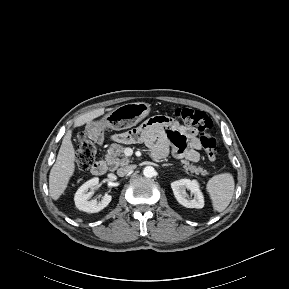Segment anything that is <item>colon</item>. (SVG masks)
<instances>
[{"mask_svg": "<svg viewBox=\"0 0 289 289\" xmlns=\"http://www.w3.org/2000/svg\"><path fill=\"white\" fill-rule=\"evenodd\" d=\"M177 119L186 125L195 126L201 133V144L207 158L214 161L217 157L216 140L211 132L213 121L203 111L191 108H177L174 112ZM95 146L88 139L85 132L81 131L76 139L75 163L78 170L88 169L94 161Z\"/></svg>", "mask_w": 289, "mask_h": 289, "instance_id": "1", "label": "colon"}]
</instances>
